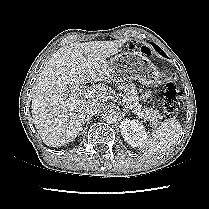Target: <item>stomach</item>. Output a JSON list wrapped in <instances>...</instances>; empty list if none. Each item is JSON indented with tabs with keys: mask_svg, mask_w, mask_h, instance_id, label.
Returning a JSON list of instances; mask_svg holds the SVG:
<instances>
[{
	"mask_svg": "<svg viewBox=\"0 0 209 209\" xmlns=\"http://www.w3.org/2000/svg\"><path fill=\"white\" fill-rule=\"evenodd\" d=\"M112 75L121 83L135 80L150 86L160 84V74L151 61L140 52L130 51L116 55L110 65Z\"/></svg>",
	"mask_w": 209,
	"mask_h": 209,
	"instance_id": "0dacf381",
	"label": "stomach"
}]
</instances>
